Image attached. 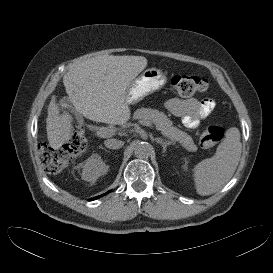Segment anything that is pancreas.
Returning <instances> with one entry per match:
<instances>
[{
	"instance_id": "1",
	"label": "pancreas",
	"mask_w": 273,
	"mask_h": 273,
	"mask_svg": "<svg viewBox=\"0 0 273 273\" xmlns=\"http://www.w3.org/2000/svg\"><path fill=\"white\" fill-rule=\"evenodd\" d=\"M133 118L153 123L165 137L173 142L180 143L186 150L190 152H195L197 150V146L192 137L173 126L172 121L164 113L151 108H140L135 111Z\"/></svg>"
}]
</instances>
